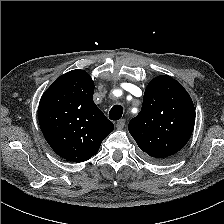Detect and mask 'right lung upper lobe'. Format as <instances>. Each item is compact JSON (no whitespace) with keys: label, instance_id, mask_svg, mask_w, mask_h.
Here are the masks:
<instances>
[{"label":"right lung upper lobe","instance_id":"cb5924a9","mask_svg":"<svg viewBox=\"0 0 224 224\" xmlns=\"http://www.w3.org/2000/svg\"><path fill=\"white\" fill-rule=\"evenodd\" d=\"M94 82L84 70L61 75L44 92L38 109L42 133L62 158L82 162L94 156L114 126L93 101Z\"/></svg>","mask_w":224,"mask_h":224}]
</instances>
